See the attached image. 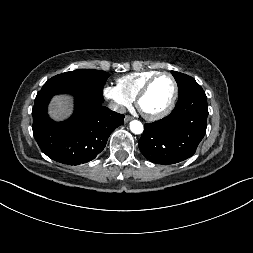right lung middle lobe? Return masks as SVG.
Listing matches in <instances>:
<instances>
[{
	"mask_svg": "<svg viewBox=\"0 0 253 253\" xmlns=\"http://www.w3.org/2000/svg\"><path fill=\"white\" fill-rule=\"evenodd\" d=\"M108 77L105 71L77 69L52 77L42 89L76 93L104 101L102 90Z\"/></svg>",
	"mask_w": 253,
	"mask_h": 253,
	"instance_id": "dd1d6c3e",
	"label": "right lung middle lobe"
}]
</instances>
